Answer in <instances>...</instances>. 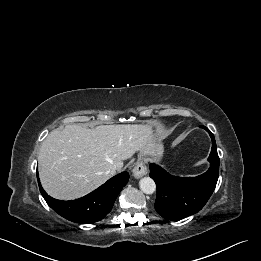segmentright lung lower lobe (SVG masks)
<instances>
[{"instance_id": "right-lung-lower-lobe-1", "label": "right lung lower lobe", "mask_w": 261, "mask_h": 261, "mask_svg": "<svg viewBox=\"0 0 261 261\" xmlns=\"http://www.w3.org/2000/svg\"><path fill=\"white\" fill-rule=\"evenodd\" d=\"M128 179V172H122L88 195L72 201L54 199L44 191L39 178L38 184L45 201L55 212L72 222L87 224L100 221L111 211Z\"/></svg>"}]
</instances>
